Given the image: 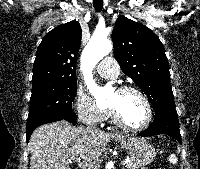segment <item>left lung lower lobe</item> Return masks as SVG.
Returning <instances> with one entry per match:
<instances>
[{"instance_id": "0a47b994", "label": "left lung lower lobe", "mask_w": 200, "mask_h": 169, "mask_svg": "<svg viewBox=\"0 0 200 169\" xmlns=\"http://www.w3.org/2000/svg\"><path fill=\"white\" fill-rule=\"evenodd\" d=\"M158 134H167L181 143L178 115L175 110L162 109L156 112L154 121L138 136H154Z\"/></svg>"}]
</instances>
